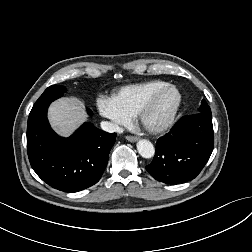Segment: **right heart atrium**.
<instances>
[{"mask_svg": "<svg viewBox=\"0 0 252 252\" xmlns=\"http://www.w3.org/2000/svg\"><path fill=\"white\" fill-rule=\"evenodd\" d=\"M97 107L100 114L111 120L115 128L126 126L130 123L131 117L122 111L112 100V98H99Z\"/></svg>", "mask_w": 252, "mask_h": 252, "instance_id": "obj_1", "label": "right heart atrium"}]
</instances>
